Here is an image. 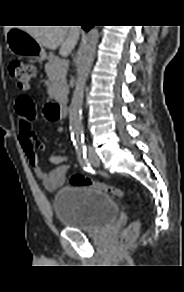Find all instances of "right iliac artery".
I'll return each instance as SVG.
<instances>
[{
	"label": "right iliac artery",
	"instance_id": "1",
	"mask_svg": "<svg viewBox=\"0 0 184 292\" xmlns=\"http://www.w3.org/2000/svg\"><path fill=\"white\" fill-rule=\"evenodd\" d=\"M77 156H78V161L80 165L82 166V168L89 173H94V170L90 166V163L87 159L86 148H78Z\"/></svg>",
	"mask_w": 184,
	"mask_h": 292
}]
</instances>
